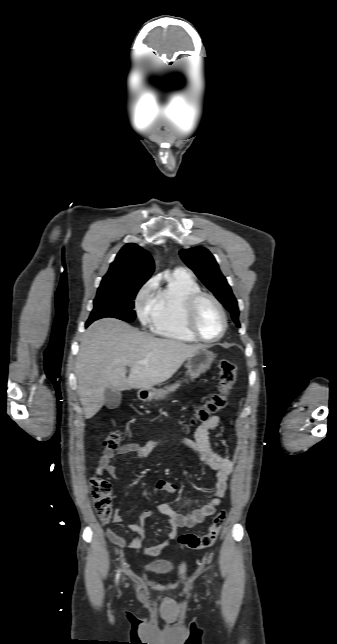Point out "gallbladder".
Masks as SVG:
<instances>
[{
  "instance_id": "bac80fb5",
  "label": "gallbladder",
  "mask_w": 337,
  "mask_h": 644,
  "mask_svg": "<svg viewBox=\"0 0 337 644\" xmlns=\"http://www.w3.org/2000/svg\"><path fill=\"white\" fill-rule=\"evenodd\" d=\"M105 406L108 409H116L121 403L122 395L119 391H113L107 388L104 392Z\"/></svg>"
}]
</instances>
